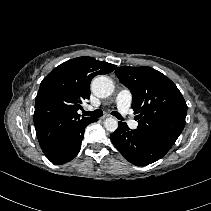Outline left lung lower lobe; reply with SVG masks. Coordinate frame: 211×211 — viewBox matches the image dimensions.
Here are the masks:
<instances>
[{"mask_svg": "<svg viewBox=\"0 0 211 211\" xmlns=\"http://www.w3.org/2000/svg\"><path fill=\"white\" fill-rule=\"evenodd\" d=\"M110 139L130 163L138 166L151 164L167 153L137 129L130 130L124 122H119L118 129L111 134Z\"/></svg>", "mask_w": 211, "mask_h": 211, "instance_id": "obj_1", "label": "left lung lower lobe"}]
</instances>
